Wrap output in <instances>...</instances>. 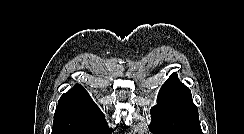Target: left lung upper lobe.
Returning a JSON list of instances; mask_svg holds the SVG:
<instances>
[{
	"label": "left lung upper lobe",
	"instance_id": "5c2ea615",
	"mask_svg": "<svg viewBox=\"0 0 244 134\" xmlns=\"http://www.w3.org/2000/svg\"><path fill=\"white\" fill-rule=\"evenodd\" d=\"M151 108V127L159 134H203L198 109L188 87L173 73L159 91Z\"/></svg>",
	"mask_w": 244,
	"mask_h": 134
}]
</instances>
